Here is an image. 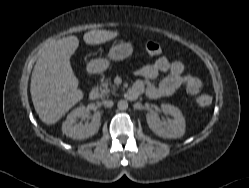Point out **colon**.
<instances>
[{
  "instance_id": "1",
  "label": "colon",
  "mask_w": 249,
  "mask_h": 188,
  "mask_svg": "<svg viewBox=\"0 0 249 188\" xmlns=\"http://www.w3.org/2000/svg\"><path fill=\"white\" fill-rule=\"evenodd\" d=\"M145 49L150 55H156L161 52V46L155 41H148L145 44ZM210 104L211 98L208 95H200L196 98V105L200 108L208 107Z\"/></svg>"
}]
</instances>
